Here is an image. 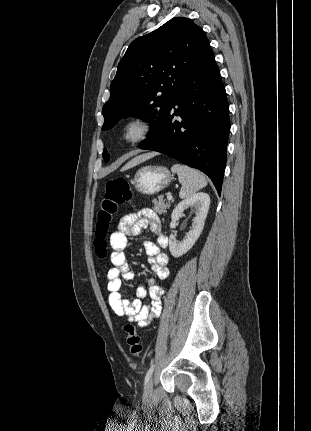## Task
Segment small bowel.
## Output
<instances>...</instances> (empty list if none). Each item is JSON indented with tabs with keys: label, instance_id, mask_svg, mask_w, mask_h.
I'll return each mask as SVG.
<instances>
[{
	"label": "small bowel",
	"instance_id": "c3829d8e",
	"mask_svg": "<svg viewBox=\"0 0 311 431\" xmlns=\"http://www.w3.org/2000/svg\"><path fill=\"white\" fill-rule=\"evenodd\" d=\"M144 228H148L155 236L156 241L147 240L144 248L149 256L152 269L161 280L169 276V257L165 252L168 246V237L163 233L162 223L158 215L151 209H142L135 213L125 215L119 222L118 229L110 237L112 248L111 263L113 265L107 272V290L109 292V305L118 316H126L130 321L139 326H147L160 314L161 296L164 294V286L154 279L148 282V288L140 286L136 290L139 299L149 296L151 303L142 305L139 299L132 302L121 295L122 279L132 280L134 273L131 271L126 259L125 249L128 238L136 236Z\"/></svg>",
	"mask_w": 311,
	"mask_h": 431
}]
</instances>
